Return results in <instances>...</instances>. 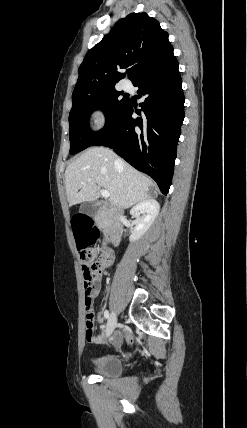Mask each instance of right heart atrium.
<instances>
[{
  "label": "right heart atrium",
  "instance_id": "d8ad5b80",
  "mask_svg": "<svg viewBox=\"0 0 247 428\" xmlns=\"http://www.w3.org/2000/svg\"><path fill=\"white\" fill-rule=\"evenodd\" d=\"M91 121L96 129H101L107 123V112L103 106H95L90 111Z\"/></svg>",
  "mask_w": 247,
  "mask_h": 428
}]
</instances>
